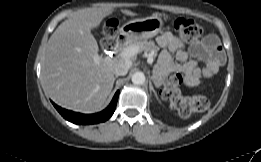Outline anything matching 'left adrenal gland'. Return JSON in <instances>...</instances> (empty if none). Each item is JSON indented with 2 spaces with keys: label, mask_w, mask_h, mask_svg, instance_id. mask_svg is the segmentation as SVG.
Returning a JSON list of instances; mask_svg holds the SVG:
<instances>
[{
  "label": "left adrenal gland",
  "mask_w": 261,
  "mask_h": 162,
  "mask_svg": "<svg viewBox=\"0 0 261 162\" xmlns=\"http://www.w3.org/2000/svg\"><path fill=\"white\" fill-rule=\"evenodd\" d=\"M149 88H150V91H152V92L154 93L156 99L160 102V100H159V98H158V96H157V93H156V91H155L154 88H153V85H152L151 81H150V83H149Z\"/></svg>",
  "instance_id": "obj_1"
}]
</instances>
